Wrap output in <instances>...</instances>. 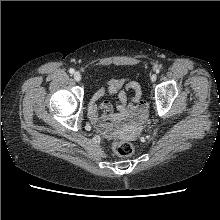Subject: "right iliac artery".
<instances>
[{"mask_svg":"<svg viewBox=\"0 0 220 220\" xmlns=\"http://www.w3.org/2000/svg\"><path fill=\"white\" fill-rule=\"evenodd\" d=\"M69 73L73 74V73H74V69H73V68H70V69H69Z\"/></svg>","mask_w":220,"mask_h":220,"instance_id":"1","label":"right iliac artery"}]
</instances>
